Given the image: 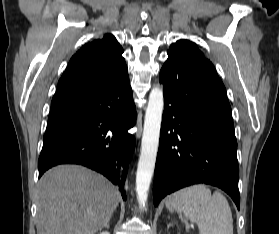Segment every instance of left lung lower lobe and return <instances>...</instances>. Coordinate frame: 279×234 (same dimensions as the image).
Returning a JSON list of instances; mask_svg holds the SVG:
<instances>
[{"label": "left lung lower lobe", "mask_w": 279, "mask_h": 234, "mask_svg": "<svg viewBox=\"0 0 279 234\" xmlns=\"http://www.w3.org/2000/svg\"><path fill=\"white\" fill-rule=\"evenodd\" d=\"M160 71L164 112L153 183L154 205L180 188L206 183L240 209L237 141L225 86L213 64L170 48Z\"/></svg>", "instance_id": "1"}]
</instances>
